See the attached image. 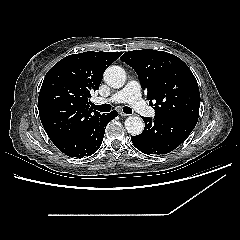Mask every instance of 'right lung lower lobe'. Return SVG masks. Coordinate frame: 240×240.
Returning a JSON list of instances; mask_svg holds the SVG:
<instances>
[{"mask_svg":"<svg viewBox=\"0 0 240 240\" xmlns=\"http://www.w3.org/2000/svg\"><path fill=\"white\" fill-rule=\"evenodd\" d=\"M117 116V111L102 114L95 118L87 129L70 138L55 143V146L70 157L83 158L94 154L102 144L105 128L109 121Z\"/></svg>","mask_w":240,"mask_h":240,"instance_id":"1","label":"right lung lower lobe"}]
</instances>
